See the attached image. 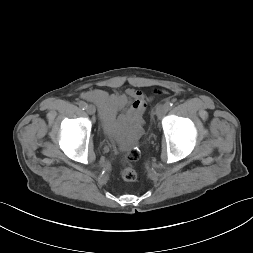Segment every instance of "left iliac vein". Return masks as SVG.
Masks as SVG:
<instances>
[{
    "label": "left iliac vein",
    "instance_id": "left-iliac-vein-1",
    "mask_svg": "<svg viewBox=\"0 0 253 253\" xmlns=\"http://www.w3.org/2000/svg\"><path fill=\"white\" fill-rule=\"evenodd\" d=\"M167 104H159L156 107V115L161 118L168 111Z\"/></svg>",
    "mask_w": 253,
    "mask_h": 253
}]
</instances>
